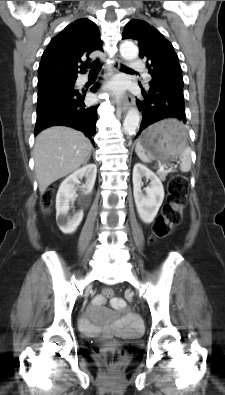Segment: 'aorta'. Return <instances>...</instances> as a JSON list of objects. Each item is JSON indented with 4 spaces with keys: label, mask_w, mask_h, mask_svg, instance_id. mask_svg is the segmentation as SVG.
Wrapping results in <instances>:
<instances>
[{
    "label": "aorta",
    "mask_w": 225,
    "mask_h": 395,
    "mask_svg": "<svg viewBox=\"0 0 225 395\" xmlns=\"http://www.w3.org/2000/svg\"><path fill=\"white\" fill-rule=\"evenodd\" d=\"M120 54L126 60H133L138 56V48L129 41H125L120 45ZM140 122V114L136 109H130L123 122V128L126 133H134Z\"/></svg>",
    "instance_id": "aorta-1"
}]
</instances>
